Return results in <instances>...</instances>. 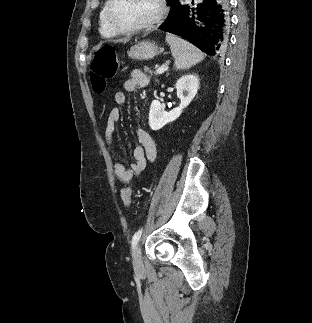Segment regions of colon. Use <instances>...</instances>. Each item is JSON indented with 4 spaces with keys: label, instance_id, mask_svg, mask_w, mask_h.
Here are the masks:
<instances>
[{
    "label": "colon",
    "instance_id": "1",
    "mask_svg": "<svg viewBox=\"0 0 312 323\" xmlns=\"http://www.w3.org/2000/svg\"><path fill=\"white\" fill-rule=\"evenodd\" d=\"M118 66V60L113 46H102L96 52L90 71V79L95 92H102L105 90L107 84L106 80L116 76ZM121 194L124 204H131L132 190L130 189V186H127V189H122Z\"/></svg>",
    "mask_w": 312,
    "mask_h": 323
}]
</instances>
